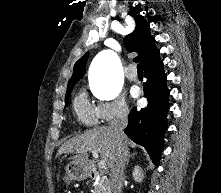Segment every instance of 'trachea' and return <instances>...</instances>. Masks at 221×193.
Listing matches in <instances>:
<instances>
[{
	"mask_svg": "<svg viewBox=\"0 0 221 193\" xmlns=\"http://www.w3.org/2000/svg\"><path fill=\"white\" fill-rule=\"evenodd\" d=\"M137 70H138V73H143V67H142V64H137Z\"/></svg>",
	"mask_w": 221,
	"mask_h": 193,
	"instance_id": "1",
	"label": "trachea"
}]
</instances>
